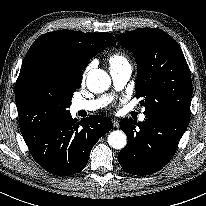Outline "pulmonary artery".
<instances>
[{
  "label": "pulmonary artery",
  "mask_w": 206,
  "mask_h": 206,
  "mask_svg": "<svg viewBox=\"0 0 206 206\" xmlns=\"http://www.w3.org/2000/svg\"><path fill=\"white\" fill-rule=\"evenodd\" d=\"M132 74V67L128 63L110 68V75L116 89L123 88ZM109 101V97L103 96L93 100H75L72 103L74 111H95L102 108ZM145 115L139 116V121H144Z\"/></svg>",
  "instance_id": "pulmonary-artery-1"
}]
</instances>
